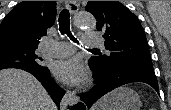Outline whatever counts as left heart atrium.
<instances>
[{"label":"left heart atrium","mask_w":171,"mask_h":110,"mask_svg":"<svg viewBox=\"0 0 171 110\" xmlns=\"http://www.w3.org/2000/svg\"><path fill=\"white\" fill-rule=\"evenodd\" d=\"M52 72L58 80L71 85L80 84L86 77V70L79 58L56 61Z\"/></svg>","instance_id":"39dd6f15"}]
</instances>
